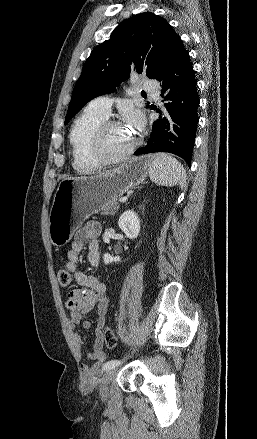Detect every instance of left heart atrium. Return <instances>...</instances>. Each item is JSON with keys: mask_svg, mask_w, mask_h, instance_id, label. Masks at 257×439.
<instances>
[{"mask_svg": "<svg viewBox=\"0 0 257 439\" xmlns=\"http://www.w3.org/2000/svg\"><path fill=\"white\" fill-rule=\"evenodd\" d=\"M125 119L127 124L133 129H140L144 123L143 115L138 110H127Z\"/></svg>", "mask_w": 257, "mask_h": 439, "instance_id": "39dd6f15", "label": "left heart atrium"}]
</instances>
